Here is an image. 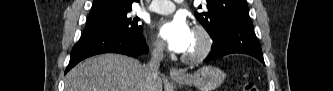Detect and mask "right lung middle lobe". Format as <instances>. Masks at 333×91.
Masks as SVG:
<instances>
[{
    "label": "right lung middle lobe",
    "instance_id": "1",
    "mask_svg": "<svg viewBox=\"0 0 333 91\" xmlns=\"http://www.w3.org/2000/svg\"><path fill=\"white\" fill-rule=\"evenodd\" d=\"M130 11V10H129ZM89 19L85 30L122 31L131 35H142L143 28L138 25L139 18H130L128 12Z\"/></svg>",
    "mask_w": 333,
    "mask_h": 91
}]
</instances>
